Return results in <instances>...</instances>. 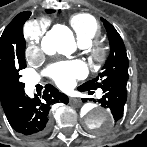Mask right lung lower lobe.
<instances>
[{
    "label": "right lung lower lobe",
    "instance_id": "1",
    "mask_svg": "<svg viewBox=\"0 0 147 147\" xmlns=\"http://www.w3.org/2000/svg\"><path fill=\"white\" fill-rule=\"evenodd\" d=\"M69 102L68 97L50 84L45 86L43 95L29 98L25 92L2 102L5 115L11 127L25 136L38 137L49 128L50 105L55 102Z\"/></svg>",
    "mask_w": 147,
    "mask_h": 147
}]
</instances>
